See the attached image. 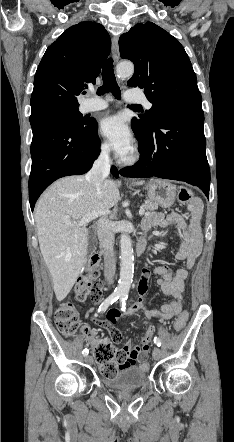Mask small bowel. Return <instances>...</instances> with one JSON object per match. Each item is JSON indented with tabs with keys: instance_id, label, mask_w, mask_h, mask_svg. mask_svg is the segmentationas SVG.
Wrapping results in <instances>:
<instances>
[{
	"instance_id": "1",
	"label": "small bowel",
	"mask_w": 234,
	"mask_h": 442,
	"mask_svg": "<svg viewBox=\"0 0 234 442\" xmlns=\"http://www.w3.org/2000/svg\"><path fill=\"white\" fill-rule=\"evenodd\" d=\"M203 212V205L200 199L190 203L188 211L185 213L172 212L167 215L161 213H154L146 217L143 221L145 230H150L155 227L165 228L173 226L176 230L177 236L181 240L179 249L175 252V259L184 263L183 267L178 268L174 273L169 267L165 265L157 266L154 272L159 275L157 280L162 292L165 295L173 297V300L164 304L161 311L157 312L146 306L145 295L148 290V283L151 275L149 267H144L142 275L139 280L137 289L139 293L138 300L134 303L132 310L142 312L147 318H154L160 321L169 320L177 316L184 304V287L185 281L188 277V271L193 267L198 258L202 248V234L200 229V218ZM120 312L118 310H110L108 314L101 315L99 322L97 317L93 316L92 320L94 326L103 328L108 331L110 336H113L112 341L119 344L122 341L119 327L115 325V321L119 318ZM153 335V330L150 328L143 334L141 346H132L128 340L122 348L127 361V367L130 370L135 369L136 364L140 365L143 359L149 358L148 350L150 347V340Z\"/></svg>"
}]
</instances>
